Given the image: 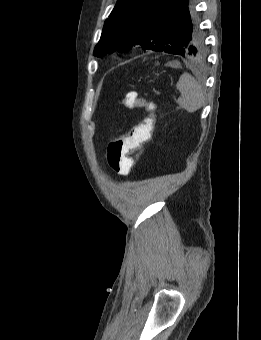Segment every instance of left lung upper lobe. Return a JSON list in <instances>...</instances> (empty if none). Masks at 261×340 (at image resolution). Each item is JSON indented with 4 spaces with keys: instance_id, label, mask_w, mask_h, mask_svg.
<instances>
[{
    "instance_id": "1",
    "label": "left lung upper lobe",
    "mask_w": 261,
    "mask_h": 340,
    "mask_svg": "<svg viewBox=\"0 0 261 340\" xmlns=\"http://www.w3.org/2000/svg\"><path fill=\"white\" fill-rule=\"evenodd\" d=\"M164 1L118 0L105 21L94 55L126 52L139 45L144 50L202 58L206 46L195 8L178 20H171V16L167 17L161 10Z\"/></svg>"
}]
</instances>
